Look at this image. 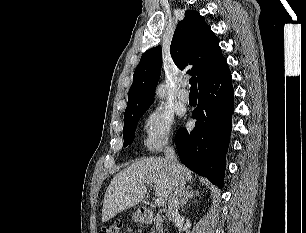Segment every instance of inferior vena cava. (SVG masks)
Here are the masks:
<instances>
[{"label":"inferior vena cava","instance_id":"obj_1","mask_svg":"<svg viewBox=\"0 0 306 233\" xmlns=\"http://www.w3.org/2000/svg\"><path fill=\"white\" fill-rule=\"evenodd\" d=\"M165 157L168 160L173 174V187L168 199L167 216L170 220L178 216L179 205L183 199L185 192V179L181 165L175 156L172 147L167 146L165 149Z\"/></svg>","mask_w":306,"mask_h":233}]
</instances>
